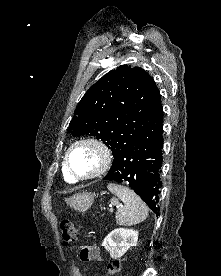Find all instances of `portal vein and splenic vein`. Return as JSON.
Returning a JSON list of instances; mask_svg holds the SVG:
<instances>
[{
	"mask_svg": "<svg viewBox=\"0 0 221 276\" xmlns=\"http://www.w3.org/2000/svg\"><path fill=\"white\" fill-rule=\"evenodd\" d=\"M109 207H110V208H109V211H110V212H113L112 205H110Z\"/></svg>",
	"mask_w": 221,
	"mask_h": 276,
	"instance_id": "obj_1",
	"label": "portal vein and splenic vein"
}]
</instances>
